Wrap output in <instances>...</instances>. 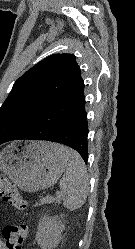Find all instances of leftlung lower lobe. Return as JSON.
Listing matches in <instances>:
<instances>
[{"mask_svg":"<svg viewBox=\"0 0 135 249\" xmlns=\"http://www.w3.org/2000/svg\"><path fill=\"white\" fill-rule=\"evenodd\" d=\"M88 123L85 110L84 83L41 109L15 136L1 141L44 140L58 142L78 151L88 159Z\"/></svg>","mask_w":135,"mask_h":249,"instance_id":"left-lung-lower-lobe-1","label":"left lung lower lobe"}]
</instances>
